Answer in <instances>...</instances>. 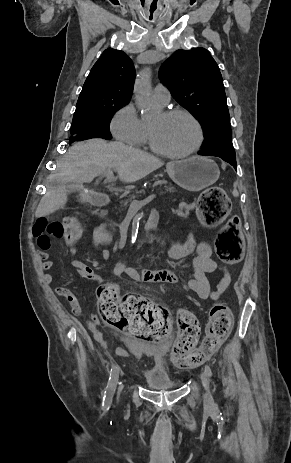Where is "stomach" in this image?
I'll list each match as a JSON object with an SVG mask.
<instances>
[{
	"label": "stomach",
	"instance_id": "0dacf381",
	"mask_svg": "<svg viewBox=\"0 0 291 463\" xmlns=\"http://www.w3.org/2000/svg\"><path fill=\"white\" fill-rule=\"evenodd\" d=\"M166 171L177 185L189 191H200L214 184L220 175L214 161L199 156L170 162Z\"/></svg>",
	"mask_w": 291,
	"mask_h": 463
}]
</instances>
